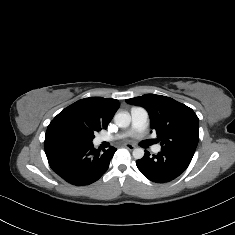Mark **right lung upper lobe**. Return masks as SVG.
Wrapping results in <instances>:
<instances>
[{"label": "right lung upper lobe", "mask_w": 235, "mask_h": 235, "mask_svg": "<svg viewBox=\"0 0 235 235\" xmlns=\"http://www.w3.org/2000/svg\"><path fill=\"white\" fill-rule=\"evenodd\" d=\"M118 108L119 101L116 99L102 97L81 99L62 110L51 121L45 138L61 134L63 126L71 122L79 123L96 131L106 129Z\"/></svg>", "instance_id": "1"}]
</instances>
